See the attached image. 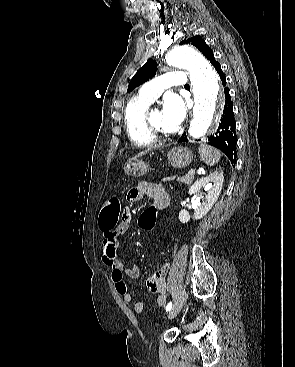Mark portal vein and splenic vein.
<instances>
[{"label":"portal vein and splenic vein","instance_id":"18ae733b","mask_svg":"<svg viewBox=\"0 0 295 367\" xmlns=\"http://www.w3.org/2000/svg\"><path fill=\"white\" fill-rule=\"evenodd\" d=\"M195 174V170L191 169L189 172H188V175H194Z\"/></svg>","mask_w":295,"mask_h":367}]
</instances>
